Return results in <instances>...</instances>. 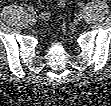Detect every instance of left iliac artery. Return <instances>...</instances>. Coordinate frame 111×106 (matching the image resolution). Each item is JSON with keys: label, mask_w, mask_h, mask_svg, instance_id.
Instances as JSON below:
<instances>
[{"label": "left iliac artery", "mask_w": 111, "mask_h": 106, "mask_svg": "<svg viewBox=\"0 0 111 106\" xmlns=\"http://www.w3.org/2000/svg\"><path fill=\"white\" fill-rule=\"evenodd\" d=\"M84 6H85V5H84L83 3L80 4V7H81V8H84Z\"/></svg>", "instance_id": "1"}]
</instances>
